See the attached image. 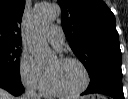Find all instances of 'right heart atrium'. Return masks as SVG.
Listing matches in <instances>:
<instances>
[{
    "label": "right heart atrium",
    "mask_w": 128,
    "mask_h": 99,
    "mask_svg": "<svg viewBox=\"0 0 128 99\" xmlns=\"http://www.w3.org/2000/svg\"><path fill=\"white\" fill-rule=\"evenodd\" d=\"M19 76L23 86L32 91H41L48 80L47 73L29 53H23L20 58Z\"/></svg>",
    "instance_id": "d8ad5b80"
}]
</instances>
